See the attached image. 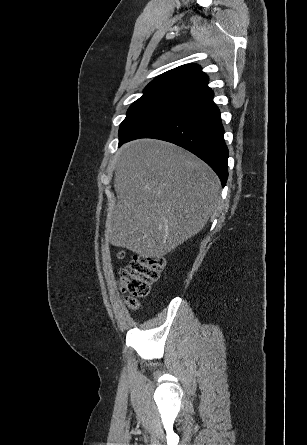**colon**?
Returning <instances> with one entry per match:
<instances>
[{
  "label": "colon",
  "mask_w": 307,
  "mask_h": 445,
  "mask_svg": "<svg viewBox=\"0 0 307 445\" xmlns=\"http://www.w3.org/2000/svg\"><path fill=\"white\" fill-rule=\"evenodd\" d=\"M118 256L123 257V253L120 252ZM164 266L163 258L138 255L120 270L121 289L128 295L127 302L131 308H138L136 298L149 294L151 285L159 279Z\"/></svg>",
  "instance_id": "colon-1"
}]
</instances>
